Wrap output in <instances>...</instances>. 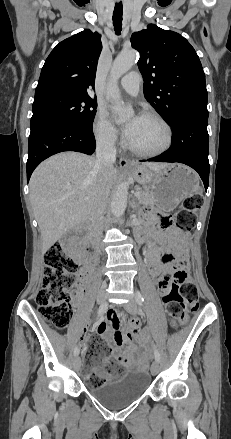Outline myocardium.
<instances>
[{
	"instance_id": "obj_1",
	"label": "myocardium",
	"mask_w": 231,
	"mask_h": 439,
	"mask_svg": "<svg viewBox=\"0 0 231 439\" xmlns=\"http://www.w3.org/2000/svg\"><path fill=\"white\" fill-rule=\"evenodd\" d=\"M142 116L155 119L158 121L165 129L166 132V140L165 143L154 150L144 151L139 150L134 147H132L129 143L126 144L127 148L135 155L140 157H156L158 155H161L168 151L173 143V129L170 125V123L158 112L147 110L142 113Z\"/></svg>"
}]
</instances>
